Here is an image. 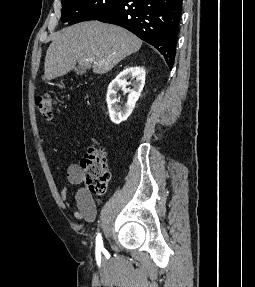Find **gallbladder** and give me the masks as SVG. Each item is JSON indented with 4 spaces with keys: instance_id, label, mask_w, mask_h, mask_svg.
Masks as SVG:
<instances>
[{
    "instance_id": "bac80fb5",
    "label": "gallbladder",
    "mask_w": 255,
    "mask_h": 287,
    "mask_svg": "<svg viewBox=\"0 0 255 287\" xmlns=\"http://www.w3.org/2000/svg\"><path fill=\"white\" fill-rule=\"evenodd\" d=\"M75 72H77V74H85L86 70L85 68H75Z\"/></svg>"
}]
</instances>
